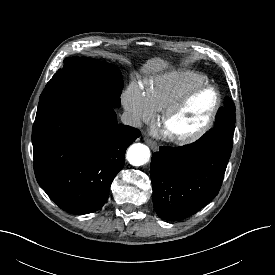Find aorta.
I'll list each match as a JSON object with an SVG mask.
<instances>
[{
  "mask_svg": "<svg viewBox=\"0 0 275 275\" xmlns=\"http://www.w3.org/2000/svg\"><path fill=\"white\" fill-rule=\"evenodd\" d=\"M127 159L133 166H141L149 162L150 150L149 148L141 143L133 144L127 151Z\"/></svg>",
  "mask_w": 275,
  "mask_h": 275,
  "instance_id": "aorta-1",
  "label": "aorta"
}]
</instances>
